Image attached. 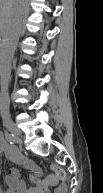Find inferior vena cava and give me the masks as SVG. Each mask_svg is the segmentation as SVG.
<instances>
[{"label":"inferior vena cava","instance_id":"1","mask_svg":"<svg viewBox=\"0 0 103 193\" xmlns=\"http://www.w3.org/2000/svg\"><path fill=\"white\" fill-rule=\"evenodd\" d=\"M20 16L17 13L10 26L9 33L3 40L0 48V78H1V116L8 118L10 99L8 94V84L11 73V62L17 46L21 30Z\"/></svg>","mask_w":103,"mask_h":193}]
</instances>
